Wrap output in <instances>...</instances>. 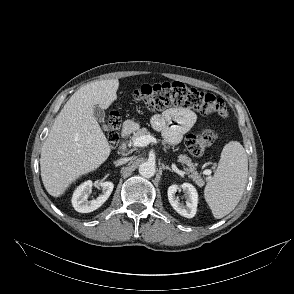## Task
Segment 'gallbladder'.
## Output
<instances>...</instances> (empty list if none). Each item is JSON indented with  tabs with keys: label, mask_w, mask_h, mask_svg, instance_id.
Instances as JSON below:
<instances>
[{
	"label": "gallbladder",
	"mask_w": 294,
	"mask_h": 294,
	"mask_svg": "<svg viewBox=\"0 0 294 294\" xmlns=\"http://www.w3.org/2000/svg\"><path fill=\"white\" fill-rule=\"evenodd\" d=\"M94 117L98 122H104L105 112L98 105L94 106Z\"/></svg>",
	"instance_id": "obj_1"
}]
</instances>
